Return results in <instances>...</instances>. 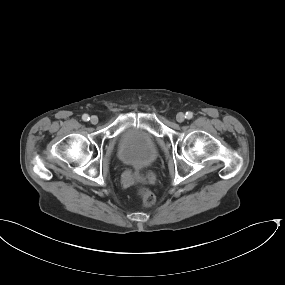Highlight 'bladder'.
I'll use <instances>...</instances> for the list:
<instances>
[{
  "label": "bladder",
  "mask_w": 285,
  "mask_h": 285,
  "mask_svg": "<svg viewBox=\"0 0 285 285\" xmlns=\"http://www.w3.org/2000/svg\"><path fill=\"white\" fill-rule=\"evenodd\" d=\"M117 150L125 165L143 169L150 166L156 157V139L147 130L125 128L118 136Z\"/></svg>",
  "instance_id": "obj_1"
}]
</instances>
